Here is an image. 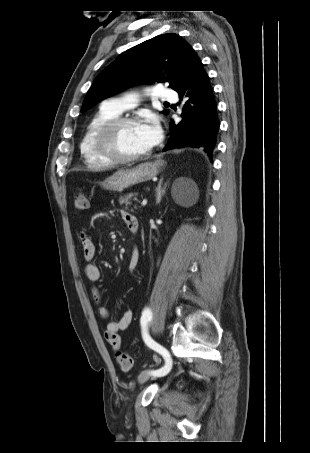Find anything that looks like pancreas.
Here are the masks:
<instances>
[{"label":"pancreas","instance_id":"pancreas-1","mask_svg":"<svg viewBox=\"0 0 310 453\" xmlns=\"http://www.w3.org/2000/svg\"><path fill=\"white\" fill-rule=\"evenodd\" d=\"M136 195H137L136 193H129V194L125 195L124 197H121L119 199L120 205L124 204L125 208H128V206H130L132 204V200H137Z\"/></svg>","mask_w":310,"mask_h":453}]
</instances>
